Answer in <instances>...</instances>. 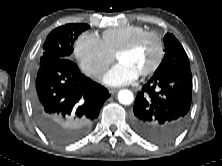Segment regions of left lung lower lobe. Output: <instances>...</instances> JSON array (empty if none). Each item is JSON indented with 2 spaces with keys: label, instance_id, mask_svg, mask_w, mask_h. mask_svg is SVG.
<instances>
[{
  "label": "left lung lower lobe",
  "instance_id": "obj_1",
  "mask_svg": "<svg viewBox=\"0 0 222 166\" xmlns=\"http://www.w3.org/2000/svg\"><path fill=\"white\" fill-rule=\"evenodd\" d=\"M191 100L190 69L154 74L136 96L132 126L149 142L169 143L183 131Z\"/></svg>",
  "mask_w": 222,
  "mask_h": 166
}]
</instances>
